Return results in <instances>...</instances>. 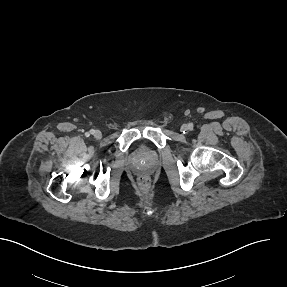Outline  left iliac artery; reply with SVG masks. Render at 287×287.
Returning <instances> with one entry per match:
<instances>
[{
	"label": "left iliac artery",
	"instance_id": "44dca946",
	"mask_svg": "<svg viewBox=\"0 0 287 287\" xmlns=\"http://www.w3.org/2000/svg\"><path fill=\"white\" fill-rule=\"evenodd\" d=\"M188 126H189V130L193 129V124L192 123H189Z\"/></svg>",
	"mask_w": 287,
	"mask_h": 287
}]
</instances>
